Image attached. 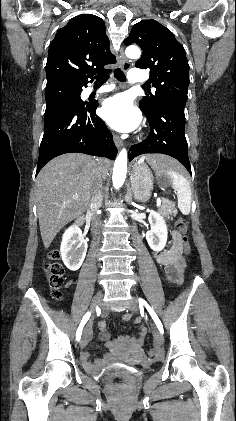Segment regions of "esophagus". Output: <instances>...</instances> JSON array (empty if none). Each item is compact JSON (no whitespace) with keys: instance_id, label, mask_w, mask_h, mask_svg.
Returning <instances> with one entry per match:
<instances>
[{"instance_id":"1","label":"esophagus","mask_w":236,"mask_h":421,"mask_svg":"<svg viewBox=\"0 0 236 421\" xmlns=\"http://www.w3.org/2000/svg\"><path fill=\"white\" fill-rule=\"evenodd\" d=\"M120 59H121L122 69L124 71H127L130 68V64H129L128 59L126 58L123 50L120 51ZM114 142H115V145H116L117 148H121L122 145H123V142L118 135L114 136Z\"/></svg>"}]
</instances>
